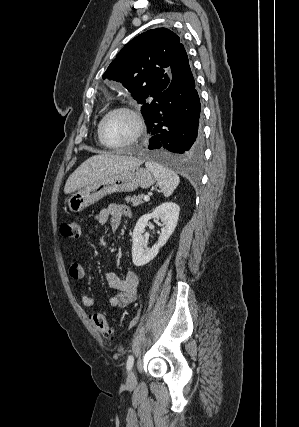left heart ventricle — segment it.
Segmentation results:
<instances>
[{
    "label": "left heart ventricle",
    "instance_id": "b2bd125f",
    "mask_svg": "<svg viewBox=\"0 0 299 427\" xmlns=\"http://www.w3.org/2000/svg\"><path fill=\"white\" fill-rule=\"evenodd\" d=\"M134 133V121L128 114L123 112L110 115L102 127L104 141L112 145H119L127 142Z\"/></svg>",
    "mask_w": 299,
    "mask_h": 427
}]
</instances>
